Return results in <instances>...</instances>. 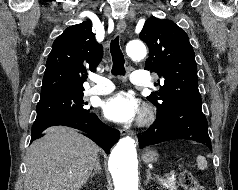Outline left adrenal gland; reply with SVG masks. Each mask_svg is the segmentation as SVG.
<instances>
[{
  "mask_svg": "<svg viewBox=\"0 0 238 190\" xmlns=\"http://www.w3.org/2000/svg\"><path fill=\"white\" fill-rule=\"evenodd\" d=\"M150 180H155V179L151 176L150 170L148 169L147 170V179H146L145 183L148 184Z\"/></svg>",
  "mask_w": 238,
  "mask_h": 190,
  "instance_id": "left-adrenal-gland-1",
  "label": "left adrenal gland"
}]
</instances>
